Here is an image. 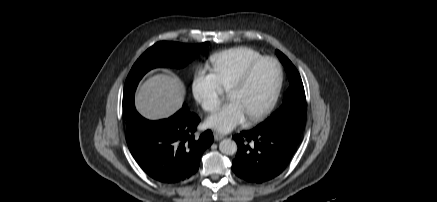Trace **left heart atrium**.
Masks as SVG:
<instances>
[{
    "label": "left heart atrium",
    "instance_id": "1",
    "mask_svg": "<svg viewBox=\"0 0 437 202\" xmlns=\"http://www.w3.org/2000/svg\"><path fill=\"white\" fill-rule=\"evenodd\" d=\"M246 115L241 105L231 101L222 109L209 116L206 125L219 132H229L246 120Z\"/></svg>",
    "mask_w": 437,
    "mask_h": 202
}]
</instances>
